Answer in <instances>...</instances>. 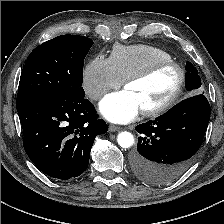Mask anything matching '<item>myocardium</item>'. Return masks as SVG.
Returning <instances> with one entry per match:
<instances>
[{"mask_svg": "<svg viewBox=\"0 0 224 224\" xmlns=\"http://www.w3.org/2000/svg\"><path fill=\"white\" fill-rule=\"evenodd\" d=\"M165 68H174L177 71L178 81H177L176 87L174 91L172 92V94L163 103H161L160 105L156 107L142 110L141 113L144 116L152 117V116L160 115L166 112L167 110H169L171 107H173L176 104V102L178 101L179 97L181 96L183 92V89L186 83V78H187L186 70L181 64H179L176 61H173V60L159 61V62H155L151 64L146 69L129 76L124 81V88H126L128 85L132 83L144 81L152 77L154 74H156L157 72Z\"/></svg>", "mask_w": 224, "mask_h": 224, "instance_id": "myocardium-1", "label": "myocardium"}]
</instances>
